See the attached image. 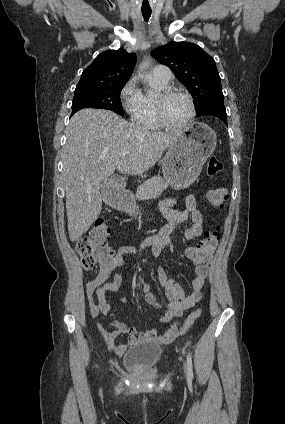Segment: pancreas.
<instances>
[{"mask_svg": "<svg viewBox=\"0 0 285 424\" xmlns=\"http://www.w3.org/2000/svg\"><path fill=\"white\" fill-rule=\"evenodd\" d=\"M168 183L161 176H154L137 188L136 198L139 201L156 198L167 189Z\"/></svg>", "mask_w": 285, "mask_h": 424, "instance_id": "cf45deb5", "label": "pancreas"}]
</instances>
